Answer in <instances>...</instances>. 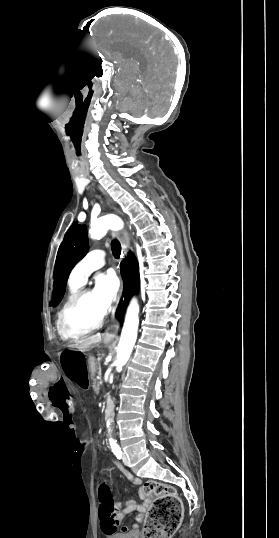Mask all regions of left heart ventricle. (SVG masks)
Wrapping results in <instances>:
<instances>
[{
  "mask_svg": "<svg viewBox=\"0 0 279 538\" xmlns=\"http://www.w3.org/2000/svg\"><path fill=\"white\" fill-rule=\"evenodd\" d=\"M103 314V308L96 294L92 291L70 313L69 326L75 331L84 330L94 325Z\"/></svg>",
  "mask_w": 279,
  "mask_h": 538,
  "instance_id": "b2bd125f",
  "label": "left heart ventricle"
}]
</instances>
